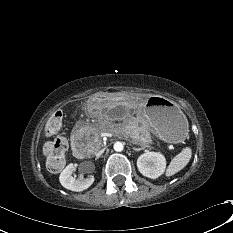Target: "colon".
Wrapping results in <instances>:
<instances>
[{
    "instance_id": "obj_1",
    "label": "colon",
    "mask_w": 233,
    "mask_h": 233,
    "mask_svg": "<svg viewBox=\"0 0 233 233\" xmlns=\"http://www.w3.org/2000/svg\"><path fill=\"white\" fill-rule=\"evenodd\" d=\"M62 126L63 114L61 111H56L47 121L45 133L47 135H56L61 131ZM67 148V142L63 138H57L45 144L43 152L50 170H59L64 166Z\"/></svg>"
}]
</instances>
